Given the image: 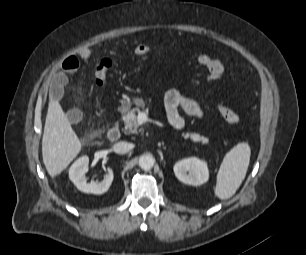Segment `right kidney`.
Masks as SVG:
<instances>
[{
	"label": "right kidney",
	"mask_w": 306,
	"mask_h": 255,
	"mask_svg": "<svg viewBox=\"0 0 306 255\" xmlns=\"http://www.w3.org/2000/svg\"><path fill=\"white\" fill-rule=\"evenodd\" d=\"M88 156H82L77 159L69 169V178L78 190L84 193L103 194L108 191L112 184L114 174L112 169H108V173L101 182H87L86 173L89 169Z\"/></svg>",
	"instance_id": "obj_1"
}]
</instances>
